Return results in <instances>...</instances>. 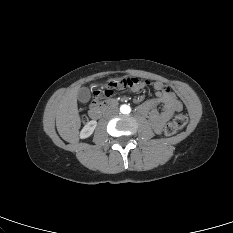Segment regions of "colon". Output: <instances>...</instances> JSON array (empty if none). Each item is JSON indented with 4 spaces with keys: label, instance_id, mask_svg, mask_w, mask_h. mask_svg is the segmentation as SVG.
Masks as SVG:
<instances>
[{
    "label": "colon",
    "instance_id": "1",
    "mask_svg": "<svg viewBox=\"0 0 233 233\" xmlns=\"http://www.w3.org/2000/svg\"><path fill=\"white\" fill-rule=\"evenodd\" d=\"M136 78L118 79L108 83L105 87L96 90L93 93V103L100 101L103 98L109 97L113 94L115 88H128L132 89V86L137 82ZM187 116L184 114L175 115L171 121H169L165 127V134L173 135L177 131L181 130L187 124Z\"/></svg>",
    "mask_w": 233,
    "mask_h": 233
}]
</instances>
